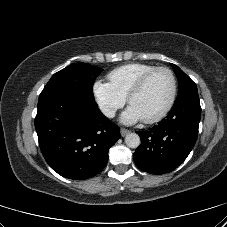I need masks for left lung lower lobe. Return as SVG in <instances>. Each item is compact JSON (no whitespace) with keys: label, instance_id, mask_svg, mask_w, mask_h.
<instances>
[{"label":"left lung lower lobe","instance_id":"0a47b994","mask_svg":"<svg viewBox=\"0 0 227 227\" xmlns=\"http://www.w3.org/2000/svg\"><path fill=\"white\" fill-rule=\"evenodd\" d=\"M200 116L197 91L177 98L165 119L149 130L137 132L142 142L133 155L137 167L150 174L176 169L196 142Z\"/></svg>","mask_w":227,"mask_h":227}]
</instances>
